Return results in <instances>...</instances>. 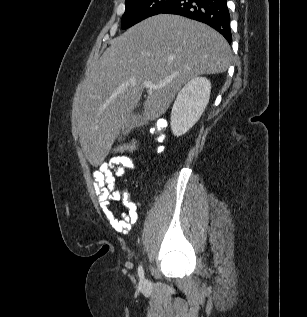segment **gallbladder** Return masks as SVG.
Returning <instances> with one entry per match:
<instances>
[{"instance_id": "1", "label": "gallbladder", "mask_w": 307, "mask_h": 317, "mask_svg": "<svg viewBox=\"0 0 307 317\" xmlns=\"http://www.w3.org/2000/svg\"><path fill=\"white\" fill-rule=\"evenodd\" d=\"M141 125H143V117L134 111L130 112L121 127L120 138L126 136L132 129Z\"/></svg>"}]
</instances>
